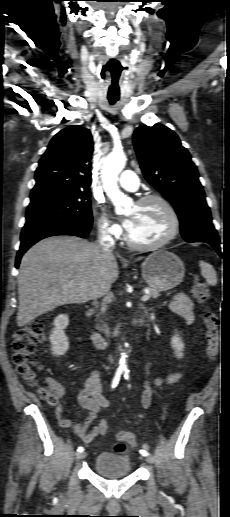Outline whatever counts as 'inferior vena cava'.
<instances>
[{
	"label": "inferior vena cava",
	"mask_w": 230,
	"mask_h": 517,
	"mask_svg": "<svg viewBox=\"0 0 230 517\" xmlns=\"http://www.w3.org/2000/svg\"><path fill=\"white\" fill-rule=\"evenodd\" d=\"M98 244L101 247V249L105 252H110L113 249V247L115 245V241L111 237V235H109V232L107 229H103V230L99 231ZM94 303L97 304V301L95 300ZM99 330L101 332H103L106 336H109L110 331H109V327L107 324H103L102 327H99Z\"/></svg>",
	"instance_id": "1"
}]
</instances>
